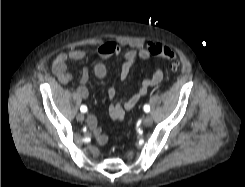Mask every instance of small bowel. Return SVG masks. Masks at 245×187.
<instances>
[{
    "mask_svg": "<svg viewBox=\"0 0 245 187\" xmlns=\"http://www.w3.org/2000/svg\"><path fill=\"white\" fill-rule=\"evenodd\" d=\"M151 45H161L157 42L149 43L146 48L142 49H130L123 55V64L121 66L119 79L125 81L130 73L132 66L139 60H146L152 56L149 51ZM121 54V48L114 41H106L99 45L96 50V55L99 61L93 65V73L99 78L103 79L107 76V68L103 61ZM86 58V52L81 49H72L67 52L58 53L52 63V71L58 81L61 84H68L72 80V75L68 71V61H81ZM90 78V71L88 68H84L79 80V85L75 89V94L80 99H86L89 95L87 83ZM164 78V73L161 69H157L150 77L144 79L138 88L130 94L127 98L113 103L109 107V115L115 121H122L125 116V112L133 109L139 100L148 92V90L154 86L159 85ZM108 96L110 99H114L116 96V89L114 87L109 88ZM89 128L95 135L96 142L98 144H105L107 142V136L102 133L98 124V120L95 116L91 115L87 122Z\"/></svg>",
    "mask_w": 245,
    "mask_h": 187,
    "instance_id": "small-bowel-1",
    "label": "small bowel"
}]
</instances>
